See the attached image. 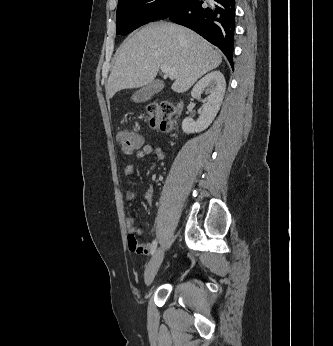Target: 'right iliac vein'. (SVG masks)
<instances>
[{"label":"right iliac vein","mask_w":333,"mask_h":346,"mask_svg":"<svg viewBox=\"0 0 333 346\" xmlns=\"http://www.w3.org/2000/svg\"><path fill=\"white\" fill-rule=\"evenodd\" d=\"M164 258V249L163 247H159L150 261L147 264L146 270H145V283L147 286H149L155 275L157 274V271L163 261Z\"/></svg>","instance_id":"obj_1"}]
</instances>
